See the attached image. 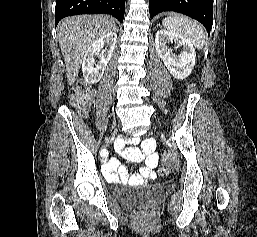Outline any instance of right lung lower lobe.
Listing matches in <instances>:
<instances>
[{"mask_svg":"<svg viewBox=\"0 0 257 237\" xmlns=\"http://www.w3.org/2000/svg\"><path fill=\"white\" fill-rule=\"evenodd\" d=\"M125 0H56L55 24L78 14H110L123 22Z\"/></svg>","mask_w":257,"mask_h":237,"instance_id":"98d812e1","label":"right lung lower lobe"}]
</instances>
